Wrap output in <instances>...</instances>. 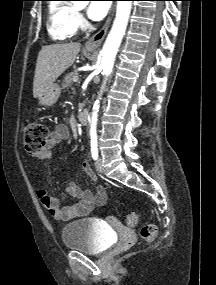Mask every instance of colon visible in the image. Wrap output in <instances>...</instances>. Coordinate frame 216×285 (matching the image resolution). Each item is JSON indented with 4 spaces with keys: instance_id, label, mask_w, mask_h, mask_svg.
<instances>
[{
    "instance_id": "1",
    "label": "colon",
    "mask_w": 216,
    "mask_h": 285,
    "mask_svg": "<svg viewBox=\"0 0 216 285\" xmlns=\"http://www.w3.org/2000/svg\"><path fill=\"white\" fill-rule=\"evenodd\" d=\"M49 133L45 124L40 121H29L23 129V142L26 151L32 156L43 158ZM139 215L136 212L128 213L125 217L127 226H137ZM157 234V227L154 224H145L140 230V235L145 241H152Z\"/></svg>"
}]
</instances>
